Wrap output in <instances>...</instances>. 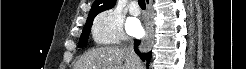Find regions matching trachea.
Here are the masks:
<instances>
[{
	"mask_svg": "<svg viewBox=\"0 0 246 69\" xmlns=\"http://www.w3.org/2000/svg\"><path fill=\"white\" fill-rule=\"evenodd\" d=\"M139 6L141 7V9L145 10L146 9V4H145V0H138Z\"/></svg>",
	"mask_w": 246,
	"mask_h": 69,
	"instance_id": "trachea-1",
	"label": "trachea"
}]
</instances>
